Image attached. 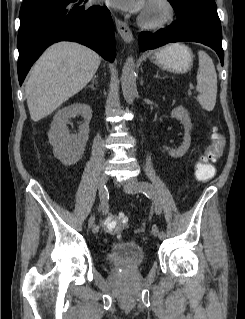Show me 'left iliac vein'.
Masks as SVG:
<instances>
[{"instance_id": "4c4485c4", "label": "left iliac vein", "mask_w": 245, "mask_h": 319, "mask_svg": "<svg viewBox=\"0 0 245 319\" xmlns=\"http://www.w3.org/2000/svg\"><path fill=\"white\" fill-rule=\"evenodd\" d=\"M137 185H138V180L136 178H130L126 181V183L124 184V190L127 193H135L138 192L137 189ZM152 232L155 236H157L160 239H163V237L160 235L158 228L156 226H153L152 228Z\"/></svg>"}]
</instances>
